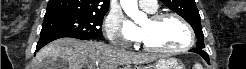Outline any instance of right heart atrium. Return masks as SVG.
I'll return each instance as SVG.
<instances>
[{"mask_svg":"<svg viewBox=\"0 0 246 69\" xmlns=\"http://www.w3.org/2000/svg\"><path fill=\"white\" fill-rule=\"evenodd\" d=\"M122 16L119 14H110L105 22V31L109 40L113 42L124 41L122 32Z\"/></svg>","mask_w":246,"mask_h":69,"instance_id":"right-heart-atrium-1","label":"right heart atrium"}]
</instances>
